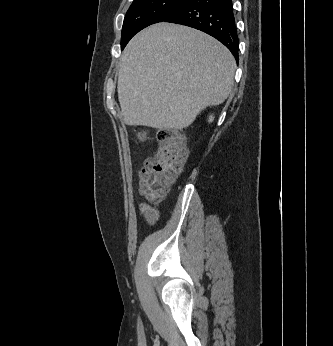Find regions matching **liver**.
<instances>
[{
	"instance_id": "obj_1",
	"label": "liver",
	"mask_w": 333,
	"mask_h": 346,
	"mask_svg": "<svg viewBox=\"0 0 333 346\" xmlns=\"http://www.w3.org/2000/svg\"><path fill=\"white\" fill-rule=\"evenodd\" d=\"M235 67L231 52L210 35L182 25H152L131 39L120 59L124 122L182 130L203 109L225 101Z\"/></svg>"
}]
</instances>
